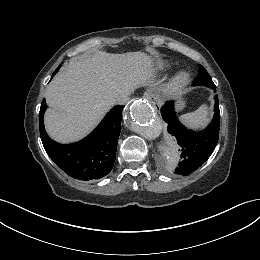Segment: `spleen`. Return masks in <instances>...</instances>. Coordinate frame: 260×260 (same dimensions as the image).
Segmentation results:
<instances>
[{"instance_id": "1", "label": "spleen", "mask_w": 260, "mask_h": 260, "mask_svg": "<svg viewBox=\"0 0 260 260\" xmlns=\"http://www.w3.org/2000/svg\"><path fill=\"white\" fill-rule=\"evenodd\" d=\"M179 119L184 125L189 128H203L210 120L209 109L205 104H203L194 112L181 115Z\"/></svg>"}]
</instances>
